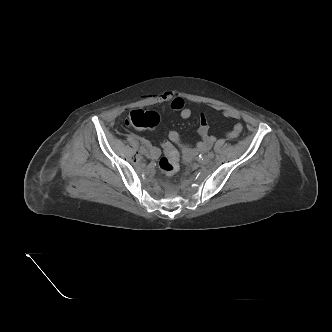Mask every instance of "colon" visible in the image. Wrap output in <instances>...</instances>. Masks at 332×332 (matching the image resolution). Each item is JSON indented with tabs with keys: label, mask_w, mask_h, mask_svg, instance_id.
Here are the masks:
<instances>
[{
	"label": "colon",
	"mask_w": 332,
	"mask_h": 332,
	"mask_svg": "<svg viewBox=\"0 0 332 332\" xmlns=\"http://www.w3.org/2000/svg\"><path fill=\"white\" fill-rule=\"evenodd\" d=\"M159 123V115L154 111L134 110L130 113L127 124L138 129H152ZM164 156L160 158L158 167L166 175H173L179 170V153L172 143H163Z\"/></svg>",
	"instance_id": "5ec220e1"
}]
</instances>
